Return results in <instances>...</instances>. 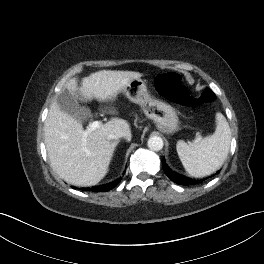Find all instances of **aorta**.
I'll return each instance as SVG.
<instances>
[{
	"label": "aorta",
	"mask_w": 264,
	"mask_h": 264,
	"mask_svg": "<svg viewBox=\"0 0 264 264\" xmlns=\"http://www.w3.org/2000/svg\"><path fill=\"white\" fill-rule=\"evenodd\" d=\"M148 147L152 151H160L163 146V139L159 136H152L148 139Z\"/></svg>",
	"instance_id": "obj_1"
}]
</instances>
